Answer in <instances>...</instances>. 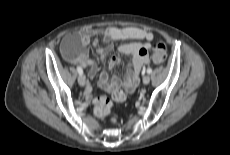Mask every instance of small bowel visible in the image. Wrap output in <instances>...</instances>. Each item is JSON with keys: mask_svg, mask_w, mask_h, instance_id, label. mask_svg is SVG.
Returning <instances> with one entry per match:
<instances>
[{"mask_svg": "<svg viewBox=\"0 0 230 155\" xmlns=\"http://www.w3.org/2000/svg\"><path fill=\"white\" fill-rule=\"evenodd\" d=\"M98 37H101L105 43L104 47L99 45ZM75 39H80L81 41L79 51L72 47V42ZM128 40H144L146 43L126 42L119 45L118 51L120 53L131 56L123 79L120 80L115 76L109 79L107 73L102 72L97 80L99 87L111 91L112 95H116L117 102H123L128 94L132 93L136 88L143 66L150 63L149 42L153 40L151 32L137 27H108L101 30H82L67 36L61 44V51L67 61L88 68L89 75L93 77L98 72V64L88 57L87 46L92 44L96 49L99 61H103L105 56L112 50L114 42ZM119 62L120 59L117 56L111 57L107 65L108 69L114 68ZM92 93V86L87 85L84 95L89 102L92 100Z\"/></svg>", "mask_w": 230, "mask_h": 155, "instance_id": "small-bowel-1", "label": "small bowel"}]
</instances>
